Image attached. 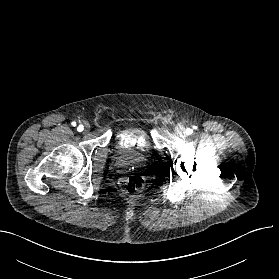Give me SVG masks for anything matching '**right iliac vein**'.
Masks as SVG:
<instances>
[{
    "label": "right iliac vein",
    "mask_w": 279,
    "mask_h": 279,
    "mask_svg": "<svg viewBox=\"0 0 279 279\" xmlns=\"http://www.w3.org/2000/svg\"><path fill=\"white\" fill-rule=\"evenodd\" d=\"M89 127H90L89 124L86 123L85 124V131H87L89 129Z\"/></svg>",
    "instance_id": "63e3f726"
}]
</instances>
